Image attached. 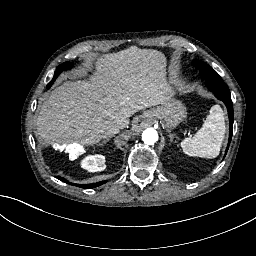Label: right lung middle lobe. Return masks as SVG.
<instances>
[{"label": "right lung middle lobe", "instance_id": "obj_1", "mask_svg": "<svg viewBox=\"0 0 256 256\" xmlns=\"http://www.w3.org/2000/svg\"><path fill=\"white\" fill-rule=\"evenodd\" d=\"M72 66V63L69 62H65L61 65H59L56 69V73L54 75L53 81L57 78V76L63 71V70H68L70 69ZM52 85V81L47 85V88H50V86Z\"/></svg>", "mask_w": 256, "mask_h": 256}]
</instances>
